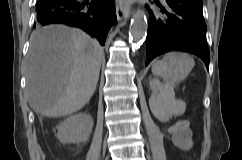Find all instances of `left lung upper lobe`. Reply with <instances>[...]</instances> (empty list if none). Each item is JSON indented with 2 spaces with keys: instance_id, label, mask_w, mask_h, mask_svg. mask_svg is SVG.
I'll list each match as a JSON object with an SVG mask.
<instances>
[{
  "instance_id": "1",
  "label": "left lung upper lobe",
  "mask_w": 242,
  "mask_h": 160,
  "mask_svg": "<svg viewBox=\"0 0 242 160\" xmlns=\"http://www.w3.org/2000/svg\"><path fill=\"white\" fill-rule=\"evenodd\" d=\"M192 1H194V2H196V3H198V4H203V2H202V0H192Z\"/></svg>"
}]
</instances>
